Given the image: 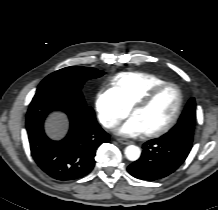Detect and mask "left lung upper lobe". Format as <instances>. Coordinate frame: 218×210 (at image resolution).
I'll return each mask as SVG.
<instances>
[{"instance_id": "5c2ea615", "label": "left lung upper lobe", "mask_w": 218, "mask_h": 210, "mask_svg": "<svg viewBox=\"0 0 218 210\" xmlns=\"http://www.w3.org/2000/svg\"><path fill=\"white\" fill-rule=\"evenodd\" d=\"M196 122V103L194 98H191L187 103L178 123L164 136L175 138L184 134V130L189 131V134L193 136L194 126Z\"/></svg>"}]
</instances>
